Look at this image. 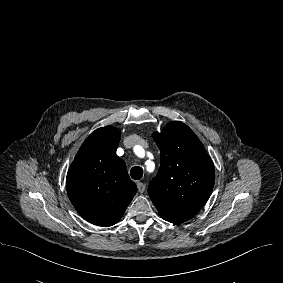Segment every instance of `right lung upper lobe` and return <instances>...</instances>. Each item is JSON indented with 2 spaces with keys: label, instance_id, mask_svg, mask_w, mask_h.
<instances>
[{
  "label": "right lung upper lobe",
  "instance_id": "1",
  "mask_svg": "<svg viewBox=\"0 0 283 283\" xmlns=\"http://www.w3.org/2000/svg\"><path fill=\"white\" fill-rule=\"evenodd\" d=\"M119 129L106 126L87 137L66 179L70 201L88 222L108 227L122 217L137 191L124 161L116 155Z\"/></svg>",
  "mask_w": 283,
  "mask_h": 283
}]
</instances>
